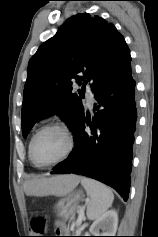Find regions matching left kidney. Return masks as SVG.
<instances>
[{
	"mask_svg": "<svg viewBox=\"0 0 158 237\" xmlns=\"http://www.w3.org/2000/svg\"><path fill=\"white\" fill-rule=\"evenodd\" d=\"M117 227L118 214L115 210H109L93 222L89 231L92 236H115Z\"/></svg>",
	"mask_w": 158,
	"mask_h": 237,
	"instance_id": "obj_1",
	"label": "left kidney"
}]
</instances>
